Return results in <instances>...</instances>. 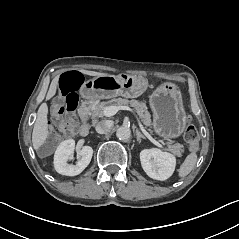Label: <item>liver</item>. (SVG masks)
<instances>
[{
    "label": "liver",
    "mask_w": 239,
    "mask_h": 239,
    "mask_svg": "<svg viewBox=\"0 0 239 239\" xmlns=\"http://www.w3.org/2000/svg\"><path fill=\"white\" fill-rule=\"evenodd\" d=\"M78 71L87 76H108L110 73L97 72L85 69H78ZM61 77V73L54 76L52 79L49 89L47 91L45 101L40 104L37 114L36 121L34 123L33 132H32V145L35 151H38L41 146L47 141L49 137V125H48V105L47 101L50 100L53 96H55L57 92V88L59 86V79Z\"/></svg>",
    "instance_id": "6515ba94"
}]
</instances>
